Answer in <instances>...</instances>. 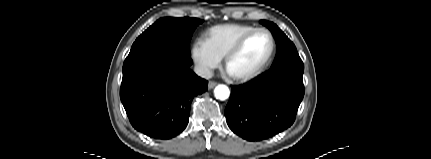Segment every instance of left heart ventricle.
Listing matches in <instances>:
<instances>
[{
  "label": "left heart ventricle",
  "instance_id": "obj_1",
  "mask_svg": "<svg viewBox=\"0 0 431 159\" xmlns=\"http://www.w3.org/2000/svg\"><path fill=\"white\" fill-rule=\"evenodd\" d=\"M272 48L270 37L258 33L251 37L243 50L230 62L228 72L233 76L245 75L258 69L268 58Z\"/></svg>",
  "mask_w": 431,
  "mask_h": 159
}]
</instances>
